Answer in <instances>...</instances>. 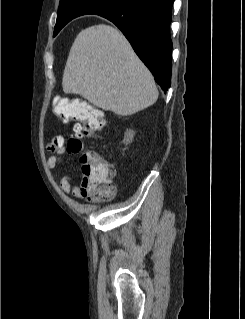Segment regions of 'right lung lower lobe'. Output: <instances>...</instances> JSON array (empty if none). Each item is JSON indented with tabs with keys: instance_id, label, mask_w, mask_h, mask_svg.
Returning <instances> with one entry per match:
<instances>
[{
	"instance_id": "98d812e1",
	"label": "right lung lower lobe",
	"mask_w": 245,
	"mask_h": 319,
	"mask_svg": "<svg viewBox=\"0 0 245 319\" xmlns=\"http://www.w3.org/2000/svg\"><path fill=\"white\" fill-rule=\"evenodd\" d=\"M174 0H124L97 15L112 21L163 91L171 84V9Z\"/></svg>"
}]
</instances>
